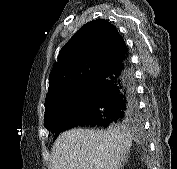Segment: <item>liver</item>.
Here are the masks:
<instances>
[{"label":"liver","mask_w":177,"mask_h":169,"mask_svg":"<svg viewBox=\"0 0 177 169\" xmlns=\"http://www.w3.org/2000/svg\"><path fill=\"white\" fill-rule=\"evenodd\" d=\"M131 146L132 136L125 127L72 129L54 142L51 169H119Z\"/></svg>","instance_id":"6515ba94"}]
</instances>
